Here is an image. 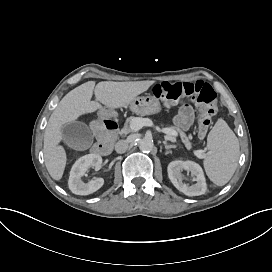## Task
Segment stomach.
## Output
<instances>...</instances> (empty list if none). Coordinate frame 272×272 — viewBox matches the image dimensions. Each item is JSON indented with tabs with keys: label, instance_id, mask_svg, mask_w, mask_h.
Masks as SVG:
<instances>
[{
	"label": "stomach",
	"instance_id": "1",
	"mask_svg": "<svg viewBox=\"0 0 272 272\" xmlns=\"http://www.w3.org/2000/svg\"><path fill=\"white\" fill-rule=\"evenodd\" d=\"M131 110L137 114L154 115L162 111V106L158 98L148 95L136 98L131 103Z\"/></svg>",
	"mask_w": 272,
	"mask_h": 272
}]
</instances>
